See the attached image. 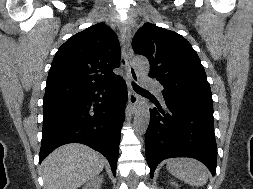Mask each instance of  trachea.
Listing matches in <instances>:
<instances>
[{
    "label": "trachea",
    "mask_w": 253,
    "mask_h": 189,
    "mask_svg": "<svg viewBox=\"0 0 253 189\" xmlns=\"http://www.w3.org/2000/svg\"><path fill=\"white\" fill-rule=\"evenodd\" d=\"M132 85H133V88H134L135 91H137V92H146V90L142 89L137 84L132 83Z\"/></svg>",
    "instance_id": "obj_1"
}]
</instances>
